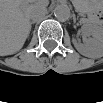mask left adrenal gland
Masks as SVG:
<instances>
[{"label":"left adrenal gland","instance_id":"obj_1","mask_svg":"<svg viewBox=\"0 0 103 103\" xmlns=\"http://www.w3.org/2000/svg\"><path fill=\"white\" fill-rule=\"evenodd\" d=\"M74 22H76V18H74Z\"/></svg>","mask_w":103,"mask_h":103}]
</instances>
